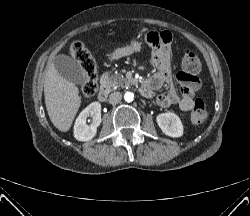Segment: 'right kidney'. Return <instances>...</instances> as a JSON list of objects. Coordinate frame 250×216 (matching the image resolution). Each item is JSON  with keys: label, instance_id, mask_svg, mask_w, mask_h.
<instances>
[{"label": "right kidney", "instance_id": "1", "mask_svg": "<svg viewBox=\"0 0 250 216\" xmlns=\"http://www.w3.org/2000/svg\"><path fill=\"white\" fill-rule=\"evenodd\" d=\"M91 116L92 121L88 125L87 118ZM101 123V104L93 102L88 105L77 117L74 124V137L78 141H89L97 133V127Z\"/></svg>", "mask_w": 250, "mask_h": 216}]
</instances>
